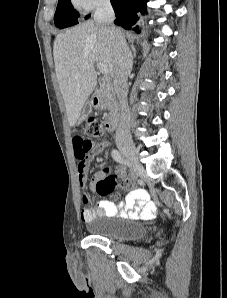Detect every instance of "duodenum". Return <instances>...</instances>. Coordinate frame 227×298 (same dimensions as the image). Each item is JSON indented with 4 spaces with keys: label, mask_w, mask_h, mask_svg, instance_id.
<instances>
[{
    "label": "duodenum",
    "mask_w": 227,
    "mask_h": 298,
    "mask_svg": "<svg viewBox=\"0 0 227 298\" xmlns=\"http://www.w3.org/2000/svg\"><path fill=\"white\" fill-rule=\"evenodd\" d=\"M92 102L97 108H108L110 110L105 119V127L110 132L114 131L118 125L119 109L112 93L108 89H98L93 94Z\"/></svg>",
    "instance_id": "obj_1"
}]
</instances>
